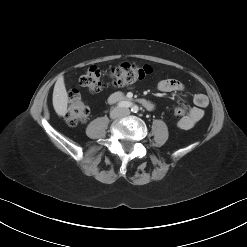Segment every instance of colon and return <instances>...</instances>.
I'll return each mask as SVG.
<instances>
[{
	"label": "colon",
	"instance_id": "obj_1",
	"mask_svg": "<svg viewBox=\"0 0 247 247\" xmlns=\"http://www.w3.org/2000/svg\"><path fill=\"white\" fill-rule=\"evenodd\" d=\"M151 73L149 66H138L131 63H122L113 67L108 72H104L96 66L90 67L79 79L82 87L92 92H99L107 85L114 87H124L135 84L144 79ZM69 105L65 114V120L68 125L75 126L84 122L88 115L89 109L76 89L68 93ZM187 106H180L174 110V115L178 118L185 115Z\"/></svg>",
	"mask_w": 247,
	"mask_h": 247
}]
</instances>
